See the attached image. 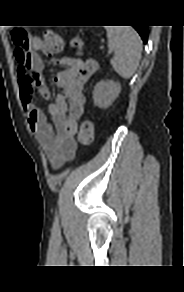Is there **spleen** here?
Listing matches in <instances>:
<instances>
[{
    "instance_id": "1",
    "label": "spleen",
    "mask_w": 184,
    "mask_h": 292,
    "mask_svg": "<svg viewBox=\"0 0 184 292\" xmlns=\"http://www.w3.org/2000/svg\"><path fill=\"white\" fill-rule=\"evenodd\" d=\"M108 48L114 52L111 65L119 76L129 79L141 58L142 42L132 27H107Z\"/></svg>"
}]
</instances>
